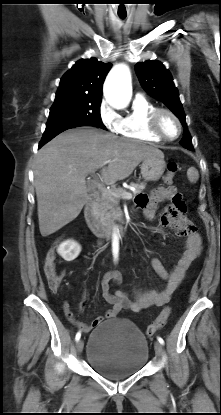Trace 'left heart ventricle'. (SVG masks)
<instances>
[{"label":"left heart ventricle","instance_id":"obj_1","mask_svg":"<svg viewBox=\"0 0 221 415\" xmlns=\"http://www.w3.org/2000/svg\"><path fill=\"white\" fill-rule=\"evenodd\" d=\"M160 127L162 131L169 137L176 136L178 132L177 123L171 116L167 114L162 115L161 120H160Z\"/></svg>","mask_w":221,"mask_h":415}]
</instances>
